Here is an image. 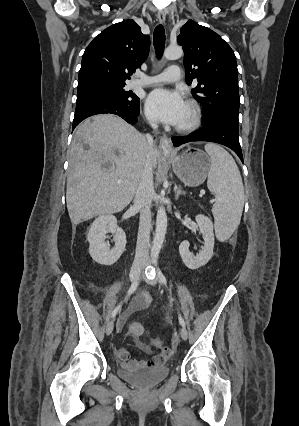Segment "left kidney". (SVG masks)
<instances>
[{"label":"left kidney","instance_id":"obj_1","mask_svg":"<svg viewBox=\"0 0 299 426\" xmlns=\"http://www.w3.org/2000/svg\"><path fill=\"white\" fill-rule=\"evenodd\" d=\"M195 220L204 240L202 251L198 255L194 256L189 252L190 244L187 240L182 241L179 246V253L182 261L186 267L191 270L198 269L199 267L207 264L213 256L214 249L213 222L207 216L202 214H198Z\"/></svg>","mask_w":299,"mask_h":426}]
</instances>
